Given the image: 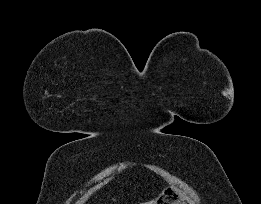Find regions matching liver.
Wrapping results in <instances>:
<instances>
[{"label":"liver","instance_id":"1","mask_svg":"<svg viewBox=\"0 0 261 204\" xmlns=\"http://www.w3.org/2000/svg\"><path fill=\"white\" fill-rule=\"evenodd\" d=\"M155 200H151V201H148V202H145V203H142V204H154Z\"/></svg>","mask_w":261,"mask_h":204}]
</instances>
